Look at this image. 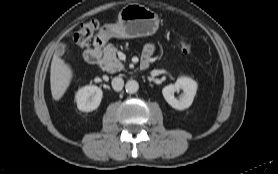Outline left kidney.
Masks as SVG:
<instances>
[{
    "instance_id": "obj_1",
    "label": "left kidney",
    "mask_w": 278,
    "mask_h": 174,
    "mask_svg": "<svg viewBox=\"0 0 278 174\" xmlns=\"http://www.w3.org/2000/svg\"><path fill=\"white\" fill-rule=\"evenodd\" d=\"M183 90V94L176 98L175 92ZM197 91V83L189 77H180L175 84H170L162 89V94L167 103L177 110L189 108Z\"/></svg>"
}]
</instances>
